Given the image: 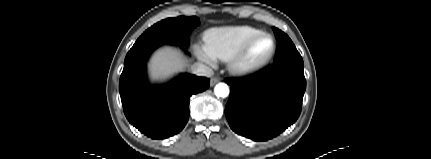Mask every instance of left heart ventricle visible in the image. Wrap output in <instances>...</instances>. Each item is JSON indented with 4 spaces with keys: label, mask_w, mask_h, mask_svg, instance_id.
Returning <instances> with one entry per match:
<instances>
[{
    "label": "left heart ventricle",
    "mask_w": 431,
    "mask_h": 159,
    "mask_svg": "<svg viewBox=\"0 0 431 159\" xmlns=\"http://www.w3.org/2000/svg\"><path fill=\"white\" fill-rule=\"evenodd\" d=\"M271 47V42L268 38H259L251 47L248 53L249 60H255L265 55Z\"/></svg>",
    "instance_id": "1"
}]
</instances>
